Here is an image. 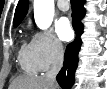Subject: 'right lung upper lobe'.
Returning a JSON list of instances; mask_svg holds the SVG:
<instances>
[{"instance_id":"cb5924a9","label":"right lung upper lobe","mask_w":107,"mask_h":89,"mask_svg":"<svg viewBox=\"0 0 107 89\" xmlns=\"http://www.w3.org/2000/svg\"><path fill=\"white\" fill-rule=\"evenodd\" d=\"M27 11H28V0H19L14 15L13 21L14 26H18L21 23V21L27 14Z\"/></svg>"}]
</instances>
